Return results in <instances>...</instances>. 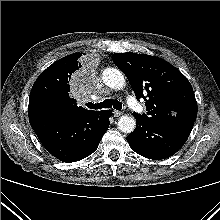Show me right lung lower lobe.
<instances>
[{
	"instance_id": "obj_1",
	"label": "right lung lower lobe",
	"mask_w": 220,
	"mask_h": 220,
	"mask_svg": "<svg viewBox=\"0 0 220 220\" xmlns=\"http://www.w3.org/2000/svg\"><path fill=\"white\" fill-rule=\"evenodd\" d=\"M28 115L31 127L46 150L60 161L71 163L97 149L109 127L112 112L103 110L70 116L38 110Z\"/></svg>"
}]
</instances>
